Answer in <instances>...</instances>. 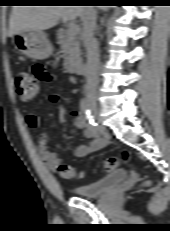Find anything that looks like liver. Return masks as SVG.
Returning <instances> with one entry per match:
<instances>
[{
	"label": "liver",
	"instance_id": "liver-1",
	"mask_svg": "<svg viewBox=\"0 0 170 231\" xmlns=\"http://www.w3.org/2000/svg\"><path fill=\"white\" fill-rule=\"evenodd\" d=\"M82 6H14L9 20L8 36L24 31L50 29L62 19L74 21L80 17Z\"/></svg>",
	"mask_w": 170,
	"mask_h": 231
}]
</instances>
